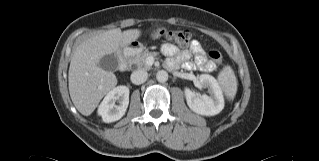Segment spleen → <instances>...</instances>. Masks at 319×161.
<instances>
[{
	"instance_id": "spleen-1",
	"label": "spleen",
	"mask_w": 319,
	"mask_h": 161,
	"mask_svg": "<svg viewBox=\"0 0 319 161\" xmlns=\"http://www.w3.org/2000/svg\"><path fill=\"white\" fill-rule=\"evenodd\" d=\"M218 83L228 99H233L237 92V79L230 66L224 68L218 74Z\"/></svg>"
}]
</instances>
